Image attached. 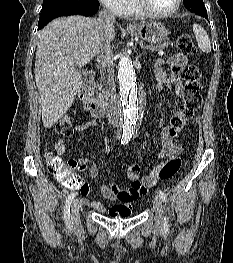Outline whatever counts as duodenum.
<instances>
[{
  "label": "duodenum",
  "instance_id": "410a0bca",
  "mask_svg": "<svg viewBox=\"0 0 233 263\" xmlns=\"http://www.w3.org/2000/svg\"><path fill=\"white\" fill-rule=\"evenodd\" d=\"M94 79L93 72H87L84 74L80 83L78 98L83 109L91 116L99 118L102 117L106 110L108 103L112 102V99L108 95H102L106 93L104 89L105 83L97 85L92 89V83Z\"/></svg>",
  "mask_w": 233,
  "mask_h": 263
}]
</instances>
